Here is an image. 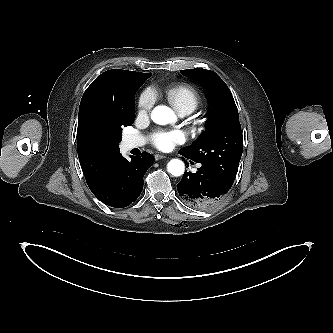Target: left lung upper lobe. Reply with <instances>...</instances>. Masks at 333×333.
I'll return each instance as SVG.
<instances>
[{"label": "left lung upper lobe", "mask_w": 333, "mask_h": 333, "mask_svg": "<svg viewBox=\"0 0 333 333\" xmlns=\"http://www.w3.org/2000/svg\"><path fill=\"white\" fill-rule=\"evenodd\" d=\"M181 73L205 87L216 111L210 112L207 130L179 153L233 184L243 151V135L233 96L225 82L212 71L187 69Z\"/></svg>", "instance_id": "5c2ea615"}]
</instances>
